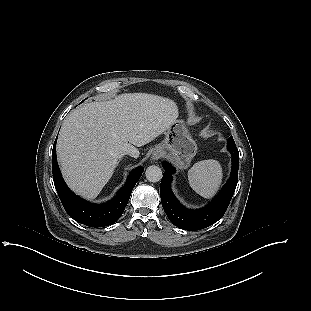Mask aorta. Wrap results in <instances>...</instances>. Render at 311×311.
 Listing matches in <instances>:
<instances>
[{
  "mask_svg": "<svg viewBox=\"0 0 311 311\" xmlns=\"http://www.w3.org/2000/svg\"><path fill=\"white\" fill-rule=\"evenodd\" d=\"M145 175L149 182L156 183L162 179L163 173L160 167L152 165L146 169Z\"/></svg>",
  "mask_w": 311,
  "mask_h": 311,
  "instance_id": "1",
  "label": "aorta"
}]
</instances>
